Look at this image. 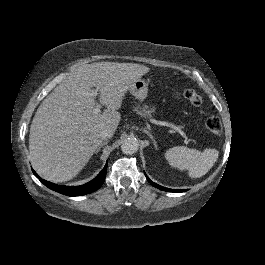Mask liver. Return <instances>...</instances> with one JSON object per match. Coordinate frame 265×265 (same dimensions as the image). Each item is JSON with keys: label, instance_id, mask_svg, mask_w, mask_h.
I'll use <instances>...</instances> for the list:
<instances>
[{"label": "liver", "instance_id": "liver-1", "mask_svg": "<svg viewBox=\"0 0 265 265\" xmlns=\"http://www.w3.org/2000/svg\"><path fill=\"white\" fill-rule=\"evenodd\" d=\"M149 68L133 63L100 62L73 70L40 104L30 126L33 167L53 182L75 177L102 143L100 131L117 129L125 93ZM96 87V90H93ZM95 91L107 107L94 114Z\"/></svg>", "mask_w": 265, "mask_h": 265}]
</instances>
